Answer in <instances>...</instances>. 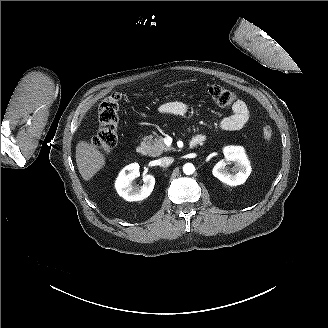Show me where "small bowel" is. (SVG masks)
I'll return each mask as SVG.
<instances>
[{
	"mask_svg": "<svg viewBox=\"0 0 328 328\" xmlns=\"http://www.w3.org/2000/svg\"><path fill=\"white\" fill-rule=\"evenodd\" d=\"M189 111V106L180 101L167 102L158 108V112L164 115H185ZM249 118L250 112L247 104L243 100H237L232 105V114L223 118L219 125L226 131H239L247 125Z\"/></svg>",
	"mask_w": 328,
	"mask_h": 328,
	"instance_id": "1",
	"label": "small bowel"
}]
</instances>
